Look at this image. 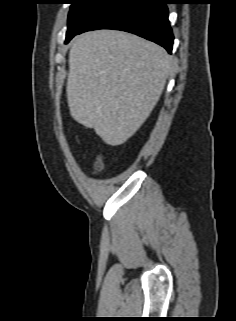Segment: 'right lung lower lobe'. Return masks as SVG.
Returning <instances> with one entry per match:
<instances>
[{
	"label": "right lung lower lobe",
	"mask_w": 236,
	"mask_h": 321,
	"mask_svg": "<svg viewBox=\"0 0 236 321\" xmlns=\"http://www.w3.org/2000/svg\"><path fill=\"white\" fill-rule=\"evenodd\" d=\"M166 4L165 0H108L75 35L95 29L123 30L153 41L171 53L174 37Z\"/></svg>",
	"instance_id": "98d812e1"
}]
</instances>
